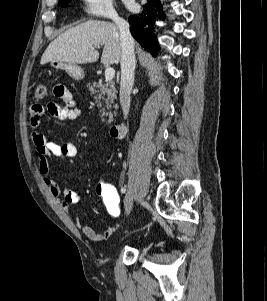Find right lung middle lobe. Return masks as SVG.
Returning <instances> with one entry per match:
<instances>
[{
	"label": "right lung middle lobe",
	"instance_id": "dd1d6c3e",
	"mask_svg": "<svg viewBox=\"0 0 267 301\" xmlns=\"http://www.w3.org/2000/svg\"><path fill=\"white\" fill-rule=\"evenodd\" d=\"M71 0H59V5L66 6L68 3H70Z\"/></svg>",
	"mask_w": 267,
	"mask_h": 301
}]
</instances>
